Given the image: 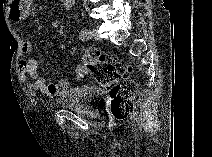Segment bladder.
Returning <instances> with one entry per match:
<instances>
[{"mask_svg": "<svg viewBox=\"0 0 212 157\" xmlns=\"http://www.w3.org/2000/svg\"><path fill=\"white\" fill-rule=\"evenodd\" d=\"M104 98V91L96 86H83L71 89L57 101V106L75 110L85 116L97 118L99 105Z\"/></svg>", "mask_w": 212, "mask_h": 157, "instance_id": "obj_1", "label": "bladder"}]
</instances>
